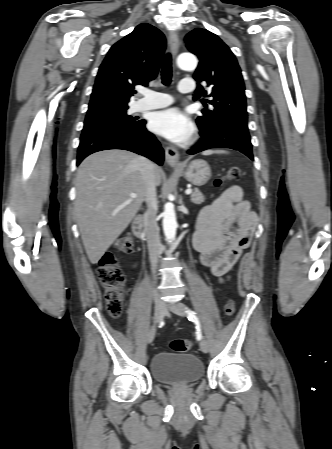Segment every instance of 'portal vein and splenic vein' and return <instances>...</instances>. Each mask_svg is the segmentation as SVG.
<instances>
[{
    "label": "portal vein and splenic vein",
    "mask_w": 332,
    "mask_h": 449,
    "mask_svg": "<svg viewBox=\"0 0 332 449\" xmlns=\"http://www.w3.org/2000/svg\"><path fill=\"white\" fill-rule=\"evenodd\" d=\"M185 193H186L187 195H189V194L192 193V190H191V189H187V190L185 191ZM130 197H131V199H134V198L137 197V195L134 194V193H131V194H130Z\"/></svg>",
    "instance_id": "portal-vein-and-splenic-vein-1"
}]
</instances>
